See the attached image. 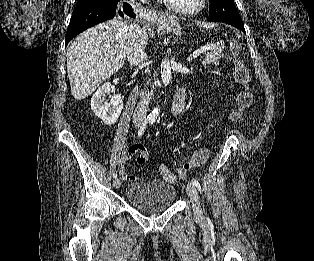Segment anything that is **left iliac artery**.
Here are the masks:
<instances>
[{"label":"left iliac artery","mask_w":314,"mask_h":261,"mask_svg":"<svg viewBox=\"0 0 314 261\" xmlns=\"http://www.w3.org/2000/svg\"><path fill=\"white\" fill-rule=\"evenodd\" d=\"M154 122H155V119H154V118H151V119L149 120V123H150V124H153ZM192 183H193V185H194L195 187H197V189L201 192L200 183H199L196 179H193V180H192Z\"/></svg>","instance_id":"1"}]
</instances>
